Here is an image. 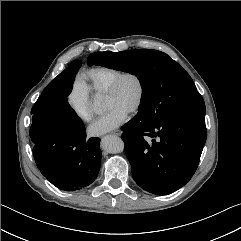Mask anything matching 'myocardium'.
Masks as SVG:
<instances>
[{"label":"myocardium","instance_id":"1","mask_svg":"<svg viewBox=\"0 0 241 241\" xmlns=\"http://www.w3.org/2000/svg\"><path fill=\"white\" fill-rule=\"evenodd\" d=\"M127 77H132L136 80L137 84H138V96H137V100L135 102V104L133 105V107L129 110V114H135L137 113L144 102L145 99V94H146V86H145V82L144 79L142 78V76L134 71H125L120 73L107 87V89L104 92V95H113L114 93H116L119 85L121 84V82L127 78Z\"/></svg>","mask_w":241,"mask_h":241}]
</instances>
